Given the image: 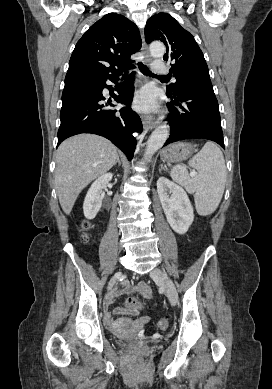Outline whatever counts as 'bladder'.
<instances>
[{
  "label": "bladder",
  "mask_w": 272,
  "mask_h": 389,
  "mask_svg": "<svg viewBox=\"0 0 272 389\" xmlns=\"http://www.w3.org/2000/svg\"><path fill=\"white\" fill-rule=\"evenodd\" d=\"M122 344H123L124 346H126V345L128 344V342H127V341H122Z\"/></svg>",
  "instance_id": "31cf9c89"
}]
</instances>
